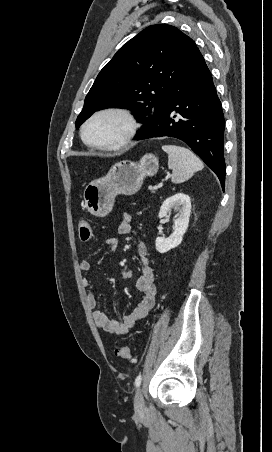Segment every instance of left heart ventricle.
<instances>
[{
  "label": "left heart ventricle",
  "mask_w": 272,
  "mask_h": 452,
  "mask_svg": "<svg viewBox=\"0 0 272 452\" xmlns=\"http://www.w3.org/2000/svg\"><path fill=\"white\" fill-rule=\"evenodd\" d=\"M126 130L125 121L116 115L95 119L86 130V138L92 143L110 144L119 141Z\"/></svg>",
  "instance_id": "b2bd125f"
}]
</instances>
